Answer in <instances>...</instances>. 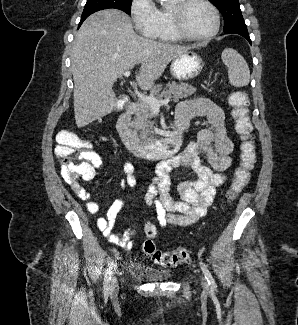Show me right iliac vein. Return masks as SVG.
Masks as SVG:
<instances>
[{"instance_id":"right-iliac-vein-1","label":"right iliac vein","mask_w":298,"mask_h":325,"mask_svg":"<svg viewBox=\"0 0 298 325\" xmlns=\"http://www.w3.org/2000/svg\"><path fill=\"white\" fill-rule=\"evenodd\" d=\"M110 293H115L118 290L117 278L113 277L109 286Z\"/></svg>"}]
</instances>
